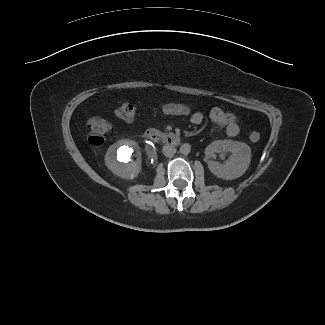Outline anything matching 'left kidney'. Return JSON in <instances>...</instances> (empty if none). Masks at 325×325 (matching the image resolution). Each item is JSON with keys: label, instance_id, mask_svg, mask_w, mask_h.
<instances>
[{"label": "left kidney", "instance_id": "obj_1", "mask_svg": "<svg viewBox=\"0 0 325 325\" xmlns=\"http://www.w3.org/2000/svg\"><path fill=\"white\" fill-rule=\"evenodd\" d=\"M230 152L228 160L224 164L209 161V170L217 177L225 180H233L242 176L251 161V149L246 143L233 140H217L210 143L205 149L207 157H215L216 153Z\"/></svg>", "mask_w": 325, "mask_h": 325}]
</instances>
